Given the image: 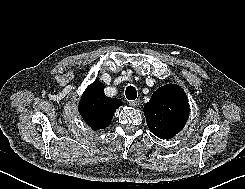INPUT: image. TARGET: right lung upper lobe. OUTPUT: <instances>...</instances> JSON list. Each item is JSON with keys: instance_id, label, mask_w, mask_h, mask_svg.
Masks as SVG:
<instances>
[{"instance_id": "right-lung-upper-lobe-1", "label": "right lung upper lobe", "mask_w": 245, "mask_h": 189, "mask_svg": "<svg viewBox=\"0 0 245 189\" xmlns=\"http://www.w3.org/2000/svg\"><path fill=\"white\" fill-rule=\"evenodd\" d=\"M121 105L120 99L105 95L104 85L100 81H94L83 93L78 110L93 130H99L109 126L114 112Z\"/></svg>"}]
</instances>
